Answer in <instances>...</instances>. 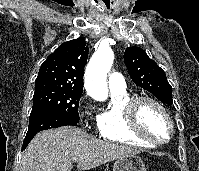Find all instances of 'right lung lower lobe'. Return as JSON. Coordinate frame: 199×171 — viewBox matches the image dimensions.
<instances>
[{
	"label": "right lung lower lobe",
	"instance_id": "98d812e1",
	"mask_svg": "<svg viewBox=\"0 0 199 171\" xmlns=\"http://www.w3.org/2000/svg\"><path fill=\"white\" fill-rule=\"evenodd\" d=\"M78 122L55 111H44L30 114V122L26 137L23 141L24 150L31 139L40 131L66 125L76 126Z\"/></svg>",
	"mask_w": 199,
	"mask_h": 171
}]
</instances>
